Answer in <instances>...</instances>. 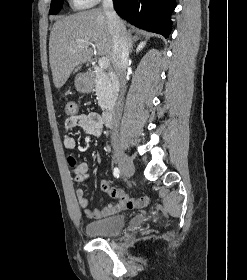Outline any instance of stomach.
Segmentation results:
<instances>
[{
  "instance_id": "1",
  "label": "stomach",
  "mask_w": 247,
  "mask_h": 280,
  "mask_svg": "<svg viewBox=\"0 0 247 280\" xmlns=\"http://www.w3.org/2000/svg\"><path fill=\"white\" fill-rule=\"evenodd\" d=\"M75 86L82 93L89 92L92 88L90 81L81 74L76 77Z\"/></svg>"
}]
</instances>
